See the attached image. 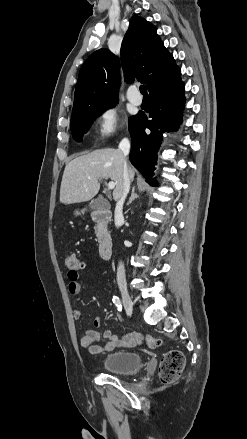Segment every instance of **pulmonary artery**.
<instances>
[{"instance_id":"e3ab8cb5","label":"pulmonary artery","mask_w":247,"mask_h":439,"mask_svg":"<svg viewBox=\"0 0 247 439\" xmlns=\"http://www.w3.org/2000/svg\"><path fill=\"white\" fill-rule=\"evenodd\" d=\"M127 99L134 105H140L142 98L136 93L135 88H130L127 92Z\"/></svg>"}]
</instances>
